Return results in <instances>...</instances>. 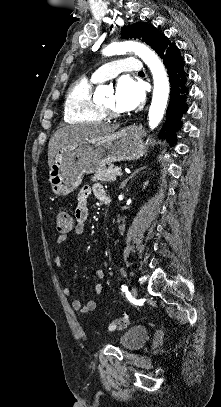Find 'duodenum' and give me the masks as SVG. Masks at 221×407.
I'll return each mask as SVG.
<instances>
[{
    "label": "duodenum",
    "instance_id": "1",
    "mask_svg": "<svg viewBox=\"0 0 221 407\" xmlns=\"http://www.w3.org/2000/svg\"><path fill=\"white\" fill-rule=\"evenodd\" d=\"M104 202H105V204H106V210H105V214H104V220H105L106 217H107V213H108L107 207H108V204H109V202H110V198H109V197H106V198L104 199Z\"/></svg>",
    "mask_w": 221,
    "mask_h": 407
}]
</instances>
